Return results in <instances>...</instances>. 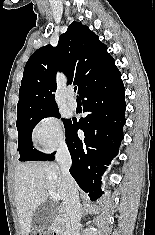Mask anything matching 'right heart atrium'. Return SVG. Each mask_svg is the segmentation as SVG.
<instances>
[{"instance_id": "right-heart-atrium-1", "label": "right heart atrium", "mask_w": 155, "mask_h": 235, "mask_svg": "<svg viewBox=\"0 0 155 235\" xmlns=\"http://www.w3.org/2000/svg\"><path fill=\"white\" fill-rule=\"evenodd\" d=\"M35 146L42 152H51L65 144V133L59 118L53 115L41 118L32 130Z\"/></svg>"}]
</instances>
